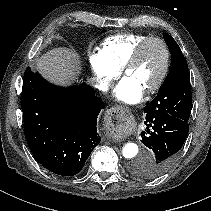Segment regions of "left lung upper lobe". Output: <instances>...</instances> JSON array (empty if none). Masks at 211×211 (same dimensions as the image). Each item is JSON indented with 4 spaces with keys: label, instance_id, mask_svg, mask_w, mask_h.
<instances>
[{
    "label": "left lung upper lobe",
    "instance_id": "left-lung-upper-lobe-1",
    "mask_svg": "<svg viewBox=\"0 0 211 211\" xmlns=\"http://www.w3.org/2000/svg\"><path fill=\"white\" fill-rule=\"evenodd\" d=\"M163 37L171 53L170 70L157 96L144 108V112L146 117L167 114L188 122L192 93L187 63L173 37L166 33ZM134 171L141 176L137 168Z\"/></svg>",
    "mask_w": 211,
    "mask_h": 211
}]
</instances>
